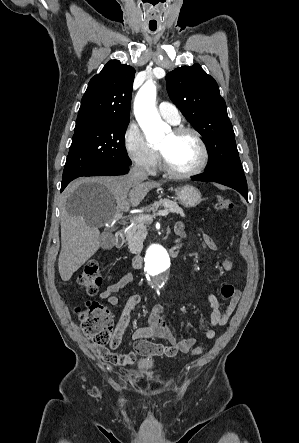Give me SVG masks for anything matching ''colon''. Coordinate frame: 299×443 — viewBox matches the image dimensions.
I'll list each match as a JSON object with an SVG mask.
<instances>
[{
	"label": "colon",
	"mask_w": 299,
	"mask_h": 443,
	"mask_svg": "<svg viewBox=\"0 0 299 443\" xmlns=\"http://www.w3.org/2000/svg\"><path fill=\"white\" fill-rule=\"evenodd\" d=\"M215 207L220 212H228L232 209V200L227 196H220L216 200ZM80 288L88 295H96L102 284V276L97 261L85 263L83 271L78 279ZM81 326L84 335L96 346L102 357L109 355L106 345L112 337L113 317L110 311L98 301H87L83 308H78ZM201 347H196L192 355H199Z\"/></svg>",
	"instance_id": "obj_1"
}]
</instances>
